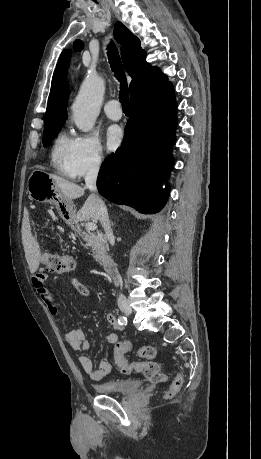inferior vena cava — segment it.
I'll use <instances>...</instances> for the list:
<instances>
[{"mask_svg": "<svg viewBox=\"0 0 261 459\" xmlns=\"http://www.w3.org/2000/svg\"><path fill=\"white\" fill-rule=\"evenodd\" d=\"M100 163H101L100 157L95 158L91 162L88 168L87 174L85 176V183H86V187L91 192H93L91 194V197L94 201L96 217L97 219L100 220L105 230L108 241L110 242L111 245H114V235H113V231L110 226L106 206L104 202L101 200V198L96 194V191H97L96 180H97V176H98V172L100 168ZM124 301H125V297L122 294H120L118 297V303L120 304V303H123Z\"/></svg>", "mask_w": 261, "mask_h": 459, "instance_id": "obj_1", "label": "inferior vena cava"}]
</instances>
